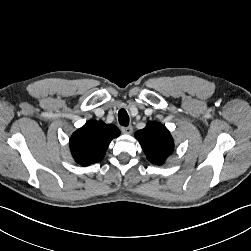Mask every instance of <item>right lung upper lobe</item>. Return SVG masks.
Instances as JSON below:
<instances>
[{"label": "right lung upper lobe", "mask_w": 251, "mask_h": 251, "mask_svg": "<svg viewBox=\"0 0 251 251\" xmlns=\"http://www.w3.org/2000/svg\"><path fill=\"white\" fill-rule=\"evenodd\" d=\"M120 135L113 124L88 121L70 138V150L75 161L83 166L99 162L106 153L111 140Z\"/></svg>", "instance_id": "obj_1"}]
</instances>
